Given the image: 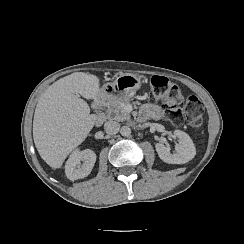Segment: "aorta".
Returning a JSON list of instances; mask_svg holds the SVG:
<instances>
[{
	"instance_id": "obj_1",
	"label": "aorta",
	"mask_w": 244,
	"mask_h": 244,
	"mask_svg": "<svg viewBox=\"0 0 244 244\" xmlns=\"http://www.w3.org/2000/svg\"><path fill=\"white\" fill-rule=\"evenodd\" d=\"M120 134L124 137H127L131 134V128L129 126H122Z\"/></svg>"
}]
</instances>
